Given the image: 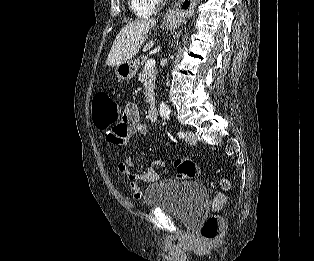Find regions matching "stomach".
<instances>
[{"label":"stomach","mask_w":314,"mask_h":261,"mask_svg":"<svg viewBox=\"0 0 314 261\" xmlns=\"http://www.w3.org/2000/svg\"><path fill=\"white\" fill-rule=\"evenodd\" d=\"M139 61L137 59L128 60L116 66V76L123 81L132 79L138 70Z\"/></svg>","instance_id":"1"}]
</instances>
